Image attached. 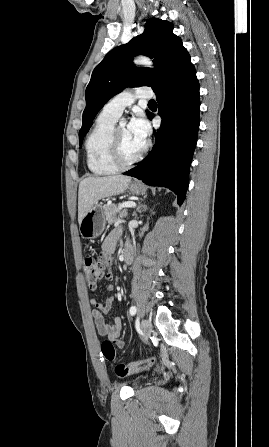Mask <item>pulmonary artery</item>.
Wrapping results in <instances>:
<instances>
[{
	"mask_svg": "<svg viewBox=\"0 0 269 447\" xmlns=\"http://www.w3.org/2000/svg\"><path fill=\"white\" fill-rule=\"evenodd\" d=\"M153 93L148 91L147 93L143 88H133L130 90H125L109 100V102L104 106L103 111L115 117L116 119L122 114V112L132 105L137 99L140 98H151Z\"/></svg>",
	"mask_w": 269,
	"mask_h": 447,
	"instance_id": "pulmonary-artery-1",
	"label": "pulmonary artery"
}]
</instances>
